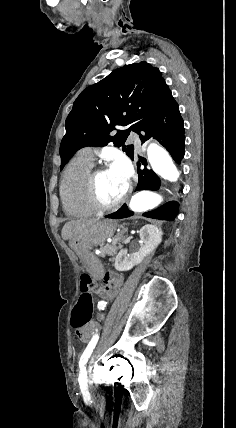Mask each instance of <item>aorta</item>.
<instances>
[{
	"label": "aorta",
	"mask_w": 236,
	"mask_h": 428,
	"mask_svg": "<svg viewBox=\"0 0 236 428\" xmlns=\"http://www.w3.org/2000/svg\"><path fill=\"white\" fill-rule=\"evenodd\" d=\"M148 160L152 170L160 177L171 182L177 181L179 171L168 152L157 144H150L147 148ZM162 197L151 191H140L132 196L130 209L134 212H147L157 207Z\"/></svg>",
	"instance_id": "aorta-1"
}]
</instances>
